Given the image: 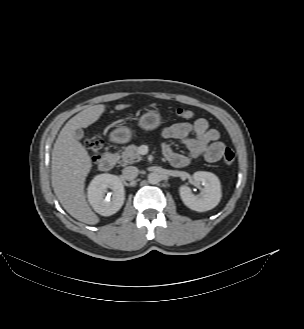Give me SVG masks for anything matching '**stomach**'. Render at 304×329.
<instances>
[{
    "label": "stomach",
    "instance_id": "obj_1",
    "mask_svg": "<svg viewBox=\"0 0 304 329\" xmlns=\"http://www.w3.org/2000/svg\"><path fill=\"white\" fill-rule=\"evenodd\" d=\"M162 123L161 115L156 110H149L144 113L138 122V125L146 131H152L158 128ZM133 131L127 126H119L114 129L110 135L109 140L114 143H127L132 139Z\"/></svg>",
    "mask_w": 304,
    "mask_h": 329
}]
</instances>
